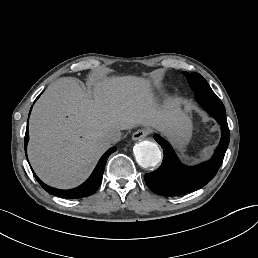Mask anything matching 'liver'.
I'll use <instances>...</instances> for the list:
<instances>
[{
    "label": "liver",
    "instance_id": "6515ba94",
    "mask_svg": "<svg viewBox=\"0 0 258 258\" xmlns=\"http://www.w3.org/2000/svg\"><path fill=\"white\" fill-rule=\"evenodd\" d=\"M184 116L176 99L167 98L159 106L144 78H106L93 84L92 93L78 79L63 78L34 105L28 158L43 182L73 188L88 178L111 147L108 132L143 125L173 139Z\"/></svg>",
    "mask_w": 258,
    "mask_h": 258
}]
</instances>
